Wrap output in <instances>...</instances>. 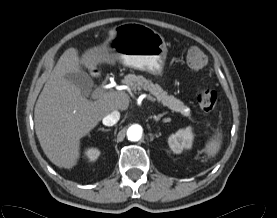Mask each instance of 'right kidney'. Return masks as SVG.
<instances>
[{"label":"right kidney","mask_w":277,"mask_h":218,"mask_svg":"<svg viewBox=\"0 0 277 218\" xmlns=\"http://www.w3.org/2000/svg\"><path fill=\"white\" fill-rule=\"evenodd\" d=\"M100 155V151L97 148H89L85 152V156L89 159V161H95Z\"/></svg>","instance_id":"1"}]
</instances>
